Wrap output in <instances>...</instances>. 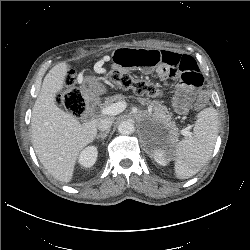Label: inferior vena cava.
Listing matches in <instances>:
<instances>
[{"mask_svg": "<svg viewBox=\"0 0 250 250\" xmlns=\"http://www.w3.org/2000/svg\"><path fill=\"white\" fill-rule=\"evenodd\" d=\"M113 122H114L113 117H103V118L99 119V121L97 123V127L100 131L107 132V131H110V128H111Z\"/></svg>", "mask_w": 250, "mask_h": 250, "instance_id": "obj_1", "label": "inferior vena cava"}]
</instances>
